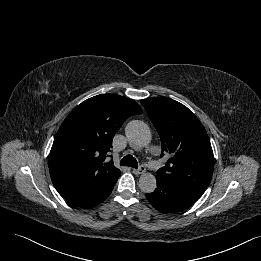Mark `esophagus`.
Segmentation results:
<instances>
[{"instance_id":"1","label":"esophagus","mask_w":261,"mask_h":261,"mask_svg":"<svg viewBox=\"0 0 261 261\" xmlns=\"http://www.w3.org/2000/svg\"><path fill=\"white\" fill-rule=\"evenodd\" d=\"M132 172L135 175L143 174L145 172V167L143 165H140L138 169H133Z\"/></svg>"}]
</instances>
